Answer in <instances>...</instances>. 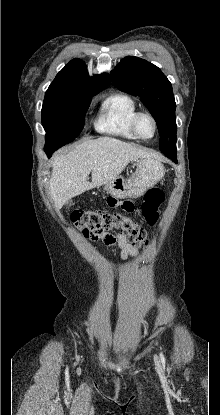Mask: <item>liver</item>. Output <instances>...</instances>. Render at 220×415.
<instances>
[{
  "label": "liver",
  "mask_w": 220,
  "mask_h": 415,
  "mask_svg": "<svg viewBox=\"0 0 220 415\" xmlns=\"http://www.w3.org/2000/svg\"><path fill=\"white\" fill-rule=\"evenodd\" d=\"M152 157L146 150L111 137L84 141L54 158L49 193L60 209L72 197L117 178L130 161ZM90 172L92 182L88 181Z\"/></svg>",
  "instance_id": "6515ba94"
}]
</instances>
